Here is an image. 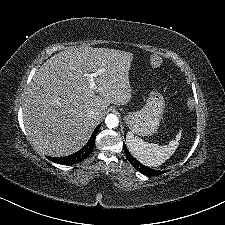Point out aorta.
Listing matches in <instances>:
<instances>
[{"mask_svg": "<svg viewBox=\"0 0 225 225\" xmlns=\"http://www.w3.org/2000/svg\"><path fill=\"white\" fill-rule=\"evenodd\" d=\"M105 124L108 128H115L119 124L118 117L114 114H108L105 118Z\"/></svg>", "mask_w": 225, "mask_h": 225, "instance_id": "762f6f07", "label": "aorta"}]
</instances>
